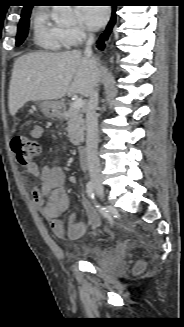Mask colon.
I'll list each match as a JSON object with an SVG mask.
<instances>
[{"label": "colon", "instance_id": "colon-1", "mask_svg": "<svg viewBox=\"0 0 184 327\" xmlns=\"http://www.w3.org/2000/svg\"><path fill=\"white\" fill-rule=\"evenodd\" d=\"M11 147L16 155L18 162L22 165H28L32 160L41 153V145L35 138H30L25 134H16L11 140ZM86 213L89 224L92 227H98L101 219L97 212L90 206H86Z\"/></svg>", "mask_w": 184, "mask_h": 327}]
</instances>
